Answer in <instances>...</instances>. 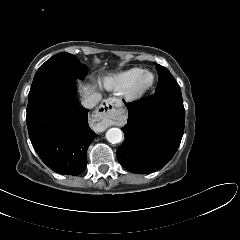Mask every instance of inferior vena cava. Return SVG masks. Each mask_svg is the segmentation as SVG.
Instances as JSON below:
<instances>
[{"label":"inferior vena cava","instance_id":"inferior-vena-cava-1","mask_svg":"<svg viewBox=\"0 0 240 240\" xmlns=\"http://www.w3.org/2000/svg\"><path fill=\"white\" fill-rule=\"evenodd\" d=\"M101 98L102 95L100 93L93 92L84 98V100L82 101V105L87 109H91L96 106V104L101 100Z\"/></svg>","mask_w":240,"mask_h":240}]
</instances>
